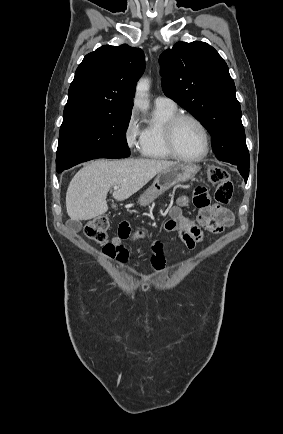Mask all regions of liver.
Masks as SVG:
<instances>
[{
    "label": "liver",
    "mask_w": 283,
    "mask_h": 434,
    "mask_svg": "<svg viewBox=\"0 0 283 434\" xmlns=\"http://www.w3.org/2000/svg\"><path fill=\"white\" fill-rule=\"evenodd\" d=\"M177 164L151 159H98L80 169L66 193V209L73 221L90 220L108 210L107 193L118 186L113 198L124 201L161 171Z\"/></svg>",
    "instance_id": "obj_1"
}]
</instances>
